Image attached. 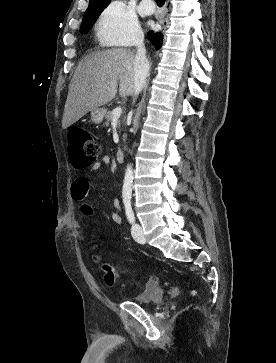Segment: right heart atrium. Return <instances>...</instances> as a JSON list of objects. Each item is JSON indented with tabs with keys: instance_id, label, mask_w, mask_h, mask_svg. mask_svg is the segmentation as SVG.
Returning a JSON list of instances; mask_svg holds the SVG:
<instances>
[{
	"instance_id": "right-heart-atrium-1",
	"label": "right heart atrium",
	"mask_w": 276,
	"mask_h": 363,
	"mask_svg": "<svg viewBox=\"0 0 276 363\" xmlns=\"http://www.w3.org/2000/svg\"><path fill=\"white\" fill-rule=\"evenodd\" d=\"M97 35L103 43L128 46L140 40L141 30L132 9L124 1L115 0L101 13Z\"/></svg>"
}]
</instances>
